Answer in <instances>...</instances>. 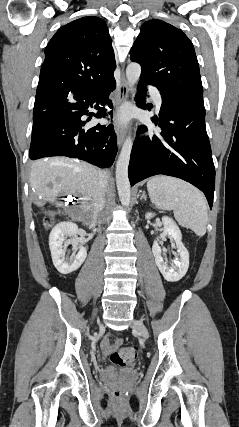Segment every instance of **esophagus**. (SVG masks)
<instances>
[{"instance_id":"obj_1","label":"esophagus","mask_w":239,"mask_h":427,"mask_svg":"<svg viewBox=\"0 0 239 427\" xmlns=\"http://www.w3.org/2000/svg\"><path fill=\"white\" fill-rule=\"evenodd\" d=\"M127 97H128V84L124 74H122L120 83L117 86V96L115 99L116 107L118 108L123 102H125ZM116 135H117V144L119 147H121V145L125 140V135H126L125 129L117 125Z\"/></svg>"}]
</instances>
